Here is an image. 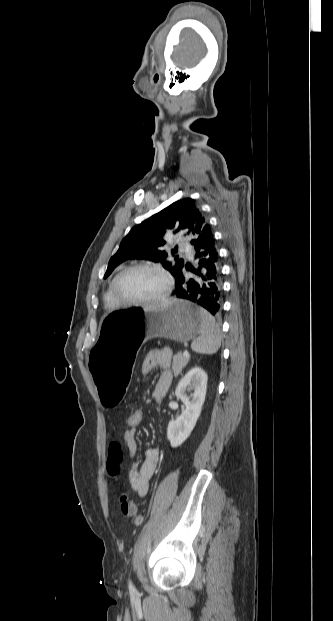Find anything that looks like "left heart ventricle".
<instances>
[{"mask_svg":"<svg viewBox=\"0 0 333 621\" xmlns=\"http://www.w3.org/2000/svg\"><path fill=\"white\" fill-rule=\"evenodd\" d=\"M166 283L152 270H135L127 273L119 282V294L128 300H148L163 294Z\"/></svg>","mask_w":333,"mask_h":621,"instance_id":"left-heart-ventricle-1","label":"left heart ventricle"}]
</instances>
